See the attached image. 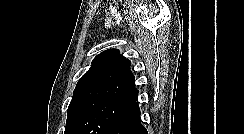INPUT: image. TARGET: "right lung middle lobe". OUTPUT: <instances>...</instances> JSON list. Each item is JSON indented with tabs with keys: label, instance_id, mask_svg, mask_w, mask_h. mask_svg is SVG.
<instances>
[{
	"label": "right lung middle lobe",
	"instance_id": "obj_1",
	"mask_svg": "<svg viewBox=\"0 0 244 134\" xmlns=\"http://www.w3.org/2000/svg\"><path fill=\"white\" fill-rule=\"evenodd\" d=\"M132 103L100 99L79 104L68 112L64 134H105Z\"/></svg>",
	"mask_w": 244,
	"mask_h": 134
}]
</instances>
